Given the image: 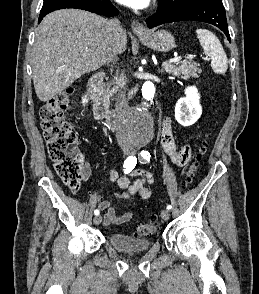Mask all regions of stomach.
<instances>
[{
	"label": "stomach",
	"instance_id": "0dacf381",
	"mask_svg": "<svg viewBox=\"0 0 259 294\" xmlns=\"http://www.w3.org/2000/svg\"><path fill=\"white\" fill-rule=\"evenodd\" d=\"M137 36L145 45L158 52H168L175 47L173 35L165 30L138 34Z\"/></svg>",
	"mask_w": 259,
	"mask_h": 294
}]
</instances>
